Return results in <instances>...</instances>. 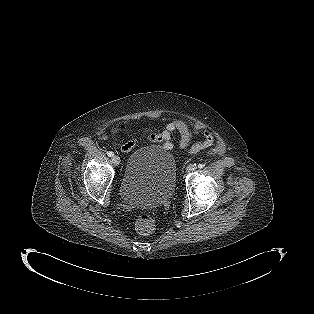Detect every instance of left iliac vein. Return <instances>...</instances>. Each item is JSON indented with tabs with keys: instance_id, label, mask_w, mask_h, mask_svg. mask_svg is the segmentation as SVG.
Returning <instances> with one entry per match:
<instances>
[{
	"instance_id": "left-iliac-vein-1",
	"label": "left iliac vein",
	"mask_w": 314,
	"mask_h": 314,
	"mask_svg": "<svg viewBox=\"0 0 314 314\" xmlns=\"http://www.w3.org/2000/svg\"><path fill=\"white\" fill-rule=\"evenodd\" d=\"M197 169L195 164H189L186 168L187 172H194Z\"/></svg>"
}]
</instances>
